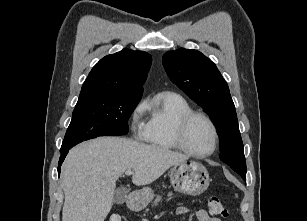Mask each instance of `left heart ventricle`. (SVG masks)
Returning a JSON list of instances; mask_svg holds the SVG:
<instances>
[{
	"mask_svg": "<svg viewBox=\"0 0 307 221\" xmlns=\"http://www.w3.org/2000/svg\"><path fill=\"white\" fill-rule=\"evenodd\" d=\"M185 142L196 153H207L213 146V132L210 125L202 118H195L189 124Z\"/></svg>",
	"mask_w": 307,
	"mask_h": 221,
	"instance_id": "1",
	"label": "left heart ventricle"
}]
</instances>
